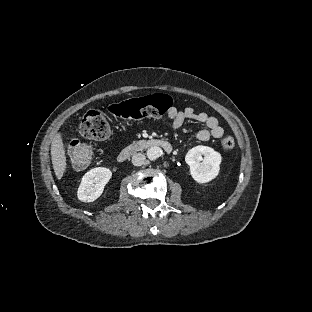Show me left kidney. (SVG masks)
<instances>
[{
	"mask_svg": "<svg viewBox=\"0 0 312 312\" xmlns=\"http://www.w3.org/2000/svg\"><path fill=\"white\" fill-rule=\"evenodd\" d=\"M202 155L203 161L199 162ZM185 163L190 167L192 179L198 184H206L219 176L222 155L209 146L199 145L187 152Z\"/></svg>",
	"mask_w": 312,
	"mask_h": 312,
	"instance_id": "left-kidney-1",
	"label": "left kidney"
}]
</instances>
